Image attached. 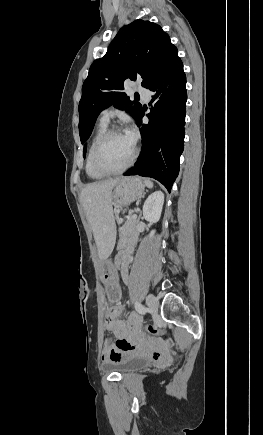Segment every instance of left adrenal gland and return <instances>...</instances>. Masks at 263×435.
<instances>
[{"label": "left adrenal gland", "instance_id": "a2214340", "mask_svg": "<svg viewBox=\"0 0 263 435\" xmlns=\"http://www.w3.org/2000/svg\"><path fill=\"white\" fill-rule=\"evenodd\" d=\"M144 197V196H143ZM139 202H140V200H138V204H139ZM137 210H138V212H139V217H138V219H140V217H141V210H140V208H137Z\"/></svg>", "mask_w": 263, "mask_h": 435}]
</instances>
